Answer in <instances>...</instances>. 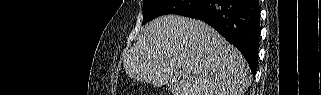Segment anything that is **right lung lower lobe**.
<instances>
[{
    "label": "right lung lower lobe",
    "mask_w": 321,
    "mask_h": 95,
    "mask_svg": "<svg viewBox=\"0 0 321 95\" xmlns=\"http://www.w3.org/2000/svg\"><path fill=\"white\" fill-rule=\"evenodd\" d=\"M186 17L205 21L239 49L256 74L260 7L258 0H207Z\"/></svg>",
    "instance_id": "right-lung-lower-lobe-1"
}]
</instances>
